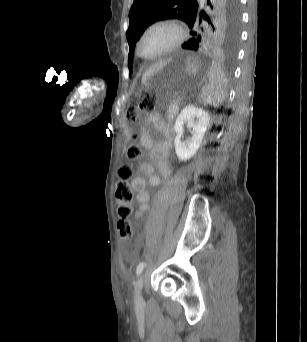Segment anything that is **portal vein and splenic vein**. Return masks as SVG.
Masks as SVG:
<instances>
[{"label": "portal vein and splenic vein", "mask_w": 307, "mask_h": 342, "mask_svg": "<svg viewBox=\"0 0 307 342\" xmlns=\"http://www.w3.org/2000/svg\"><path fill=\"white\" fill-rule=\"evenodd\" d=\"M187 96H189L191 93L189 92V91H187L186 93H185ZM185 101L187 100L186 98L184 99ZM184 103L181 101L180 102V105L182 106Z\"/></svg>", "instance_id": "portal-vein-and-splenic-vein-1"}]
</instances>
